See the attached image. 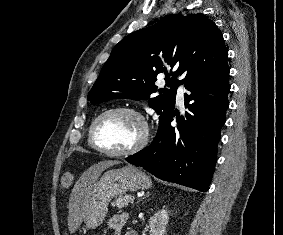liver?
<instances>
[{
	"instance_id": "6515ba94",
	"label": "liver",
	"mask_w": 283,
	"mask_h": 235,
	"mask_svg": "<svg viewBox=\"0 0 283 235\" xmlns=\"http://www.w3.org/2000/svg\"><path fill=\"white\" fill-rule=\"evenodd\" d=\"M119 163V161L110 160L94 164L87 171H85L79 178V180L75 183L69 200L68 226L71 232L76 231L85 216V204L88 199L89 193L96 183L98 177L105 169Z\"/></svg>"
}]
</instances>
